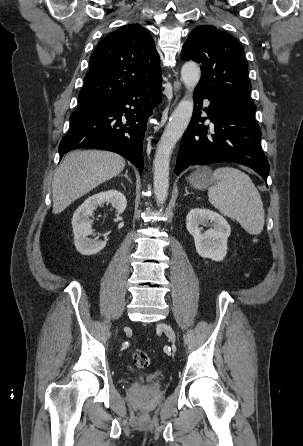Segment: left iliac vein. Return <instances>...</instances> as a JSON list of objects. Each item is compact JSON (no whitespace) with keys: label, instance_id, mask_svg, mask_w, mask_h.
Wrapping results in <instances>:
<instances>
[{"label":"left iliac vein","instance_id":"1","mask_svg":"<svg viewBox=\"0 0 303 446\" xmlns=\"http://www.w3.org/2000/svg\"><path fill=\"white\" fill-rule=\"evenodd\" d=\"M157 327L162 330L170 339L171 342H175V333L173 331V329L171 328V326H169L168 324L165 323H159L157 325Z\"/></svg>","mask_w":303,"mask_h":446}]
</instances>
